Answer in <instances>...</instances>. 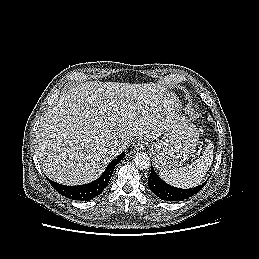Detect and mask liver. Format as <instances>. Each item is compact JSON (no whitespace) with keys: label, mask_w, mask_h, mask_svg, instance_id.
I'll return each mask as SVG.
<instances>
[{"label":"liver","mask_w":259,"mask_h":259,"mask_svg":"<svg viewBox=\"0 0 259 259\" xmlns=\"http://www.w3.org/2000/svg\"><path fill=\"white\" fill-rule=\"evenodd\" d=\"M169 103V93L154 83L91 81L70 87L43 115L36 132L43 172L65 185L97 179L121 152L115 143L161 136Z\"/></svg>","instance_id":"1"}]
</instances>
